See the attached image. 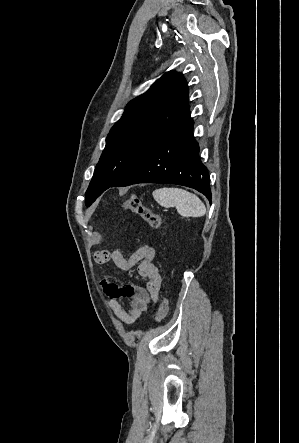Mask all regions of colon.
I'll return each mask as SVG.
<instances>
[{
  "mask_svg": "<svg viewBox=\"0 0 299 443\" xmlns=\"http://www.w3.org/2000/svg\"><path fill=\"white\" fill-rule=\"evenodd\" d=\"M119 208L141 217L152 228H160L162 226L161 217L146 207L138 195L131 194L119 204ZM168 313V303L165 297H161L155 320L160 323Z\"/></svg>",
  "mask_w": 299,
  "mask_h": 443,
  "instance_id": "1",
  "label": "colon"
}]
</instances>
